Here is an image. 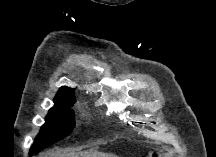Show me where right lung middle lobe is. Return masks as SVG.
Instances as JSON below:
<instances>
[{
    "label": "right lung middle lobe",
    "instance_id": "1",
    "mask_svg": "<svg viewBox=\"0 0 216 157\" xmlns=\"http://www.w3.org/2000/svg\"><path fill=\"white\" fill-rule=\"evenodd\" d=\"M75 102L73 95L54 99L55 106L49 110L46 123L41 127L29 155L36 153L69 135L74 126V112L71 110Z\"/></svg>",
    "mask_w": 216,
    "mask_h": 157
}]
</instances>
